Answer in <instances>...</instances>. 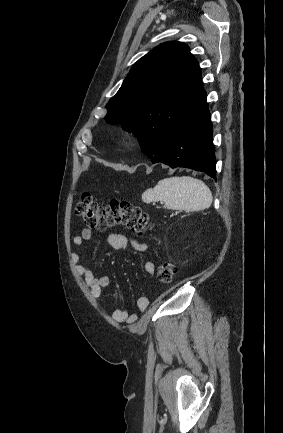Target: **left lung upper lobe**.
Wrapping results in <instances>:
<instances>
[{
	"mask_svg": "<svg viewBox=\"0 0 283 433\" xmlns=\"http://www.w3.org/2000/svg\"><path fill=\"white\" fill-rule=\"evenodd\" d=\"M202 89L201 71L189 47L166 42L132 67L106 105L105 120L134 131L141 146L156 125L175 124L197 114L204 105Z\"/></svg>",
	"mask_w": 283,
	"mask_h": 433,
	"instance_id": "5c2ea615",
	"label": "left lung upper lobe"
}]
</instances>
